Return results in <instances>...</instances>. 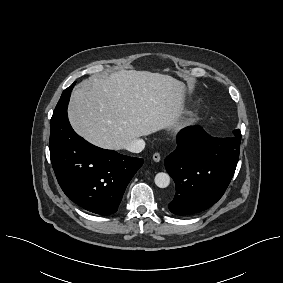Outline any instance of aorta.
<instances>
[{
    "instance_id": "762f6f07",
    "label": "aorta",
    "mask_w": 283,
    "mask_h": 283,
    "mask_svg": "<svg viewBox=\"0 0 283 283\" xmlns=\"http://www.w3.org/2000/svg\"><path fill=\"white\" fill-rule=\"evenodd\" d=\"M154 181L159 188H166L170 184V176L167 173L160 172L156 174Z\"/></svg>"
}]
</instances>
